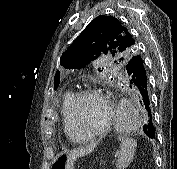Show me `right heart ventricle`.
Here are the masks:
<instances>
[{"instance_id": "obj_1", "label": "right heart ventricle", "mask_w": 177, "mask_h": 169, "mask_svg": "<svg viewBox=\"0 0 177 169\" xmlns=\"http://www.w3.org/2000/svg\"><path fill=\"white\" fill-rule=\"evenodd\" d=\"M75 99V93L71 90L64 93L62 102H61V119H62V127L63 132L66 137L73 141L77 142L75 138V132L72 127L71 118H70V110Z\"/></svg>"}]
</instances>
